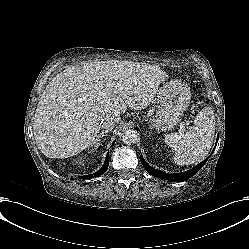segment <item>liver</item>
Instances as JSON below:
<instances>
[{"label":"liver","instance_id":"6515ba94","mask_svg":"<svg viewBox=\"0 0 249 249\" xmlns=\"http://www.w3.org/2000/svg\"><path fill=\"white\" fill-rule=\"evenodd\" d=\"M161 72L124 62H90L58 74L35 112L34 136L43 154L68 158L93 146L107 119L127 107L145 109L155 97Z\"/></svg>","mask_w":249,"mask_h":249}]
</instances>
